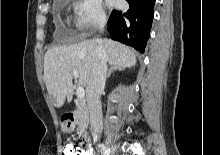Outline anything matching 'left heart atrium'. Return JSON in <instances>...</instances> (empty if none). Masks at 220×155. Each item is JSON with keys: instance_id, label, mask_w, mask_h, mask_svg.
<instances>
[{"instance_id": "left-heart-atrium-1", "label": "left heart atrium", "mask_w": 220, "mask_h": 155, "mask_svg": "<svg viewBox=\"0 0 220 155\" xmlns=\"http://www.w3.org/2000/svg\"><path fill=\"white\" fill-rule=\"evenodd\" d=\"M107 3L109 5H114L116 3V0H107Z\"/></svg>"}]
</instances>
